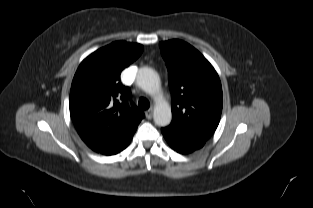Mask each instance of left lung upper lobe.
<instances>
[{
	"instance_id": "obj_1",
	"label": "left lung upper lobe",
	"mask_w": 313,
	"mask_h": 208,
	"mask_svg": "<svg viewBox=\"0 0 313 208\" xmlns=\"http://www.w3.org/2000/svg\"><path fill=\"white\" fill-rule=\"evenodd\" d=\"M159 45L172 96V122L162 129L181 140L205 144L221 117L223 96L219 76L188 43L173 39Z\"/></svg>"
}]
</instances>
